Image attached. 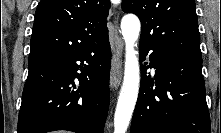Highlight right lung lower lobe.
<instances>
[{
  "instance_id": "obj_1",
  "label": "right lung lower lobe",
  "mask_w": 221,
  "mask_h": 133,
  "mask_svg": "<svg viewBox=\"0 0 221 133\" xmlns=\"http://www.w3.org/2000/svg\"><path fill=\"white\" fill-rule=\"evenodd\" d=\"M110 64L108 34L81 51L29 62L18 133H103Z\"/></svg>"
}]
</instances>
